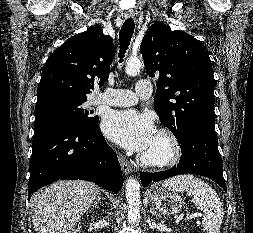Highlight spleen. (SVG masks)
<instances>
[{
  "label": "spleen",
  "instance_id": "3e777b00",
  "mask_svg": "<svg viewBox=\"0 0 253 233\" xmlns=\"http://www.w3.org/2000/svg\"><path fill=\"white\" fill-rule=\"evenodd\" d=\"M163 187L185 192L203 212L202 224L209 233H219L223 220V206L217 193L207 183L193 175H181L165 181Z\"/></svg>",
  "mask_w": 253,
  "mask_h": 233
}]
</instances>
